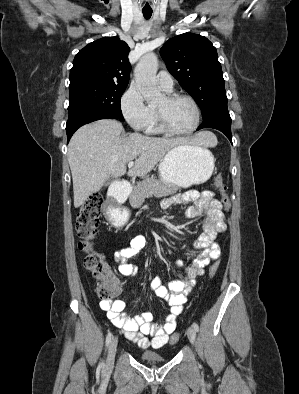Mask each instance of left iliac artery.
Masks as SVG:
<instances>
[{
  "mask_svg": "<svg viewBox=\"0 0 299 394\" xmlns=\"http://www.w3.org/2000/svg\"><path fill=\"white\" fill-rule=\"evenodd\" d=\"M192 326L194 327V329H195L196 331L199 330V326H198V324H197L196 322H194Z\"/></svg>",
  "mask_w": 299,
  "mask_h": 394,
  "instance_id": "obj_1",
  "label": "left iliac artery"
}]
</instances>
